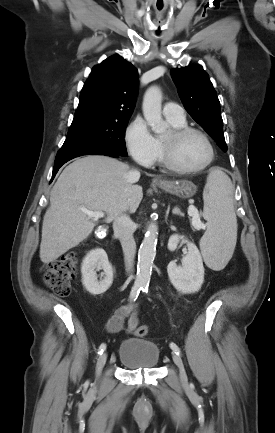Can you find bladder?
Instances as JSON below:
<instances>
[{
	"label": "bladder",
	"mask_w": 275,
	"mask_h": 433,
	"mask_svg": "<svg viewBox=\"0 0 275 433\" xmlns=\"http://www.w3.org/2000/svg\"><path fill=\"white\" fill-rule=\"evenodd\" d=\"M117 358L131 368L152 369L159 362L160 350L149 340L129 337L120 344Z\"/></svg>",
	"instance_id": "1"
}]
</instances>
